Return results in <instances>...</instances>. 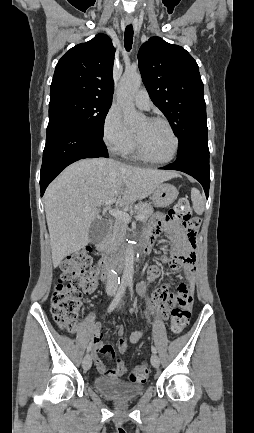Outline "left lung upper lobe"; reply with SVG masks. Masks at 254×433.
<instances>
[{"instance_id": "5c2ea615", "label": "left lung upper lobe", "mask_w": 254, "mask_h": 433, "mask_svg": "<svg viewBox=\"0 0 254 433\" xmlns=\"http://www.w3.org/2000/svg\"><path fill=\"white\" fill-rule=\"evenodd\" d=\"M138 61L151 100L178 137V154L208 144L203 82L192 56L181 46L152 37L141 46Z\"/></svg>"}]
</instances>
